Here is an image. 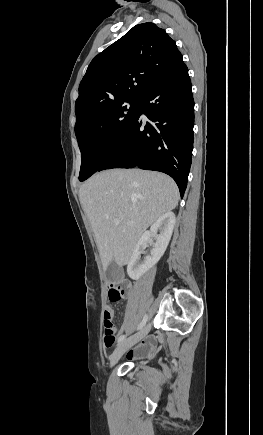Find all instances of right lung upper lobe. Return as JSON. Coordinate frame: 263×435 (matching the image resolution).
Returning <instances> with one entry per match:
<instances>
[{
    "label": "right lung upper lobe",
    "instance_id": "1",
    "mask_svg": "<svg viewBox=\"0 0 263 435\" xmlns=\"http://www.w3.org/2000/svg\"><path fill=\"white\" fill-rule=\"evenodd\" d=\"M183 63L164 29L150 22L134 26L88 66L75 104V128L114 102L142 99Z\"/></svg>",
    "mask_w": 263,
    "mask_h": 435
}]
</instances>
